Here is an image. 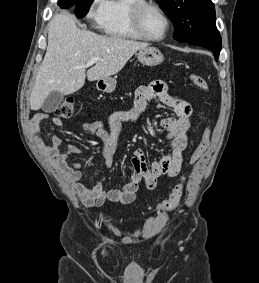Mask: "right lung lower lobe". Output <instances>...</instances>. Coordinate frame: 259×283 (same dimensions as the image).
Instances as JSON below:
<instances>
[{
	"label": "right lung lower lobe",
	"mask_w": 259,
	"mask_h": 283,
	"mask_svg": "<svg viewBox=\"0 0 259 283\" xmlns=\"http://www.w3.org/2000/svg\"><path fill=\"white\" fill-rule=\"evenodd\" d=\"M75 3L73 0H58V5L61 8H69L71 6H73Z\"/></svg>",
	"instance_id": "1"
}]
</instances>
